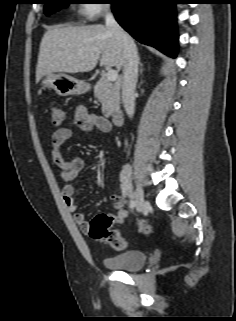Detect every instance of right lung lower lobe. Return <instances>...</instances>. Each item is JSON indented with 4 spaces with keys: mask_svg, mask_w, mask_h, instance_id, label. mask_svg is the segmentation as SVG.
Wrapping results in <instances>:
<instances>
[{
    "mask_svg": "<svg viewBox=\"0 0 236 321\" xmlns=\"http://www.w3.org/2000/svg\"><path fill=\"white\" fill-rule=\"evenodd\" d=\"M118 23L139 42L176 57L178 35L173 0H110Z\"/></svg>",
    "mask_w": 236,
    "mask_h": 321,
    "instance_id": "1",
    "label": "right lung lower lobe"
}]
</instances>
